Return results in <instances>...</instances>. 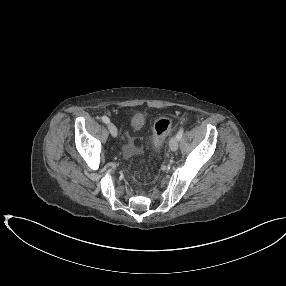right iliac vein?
Instances as JSON below:
<instances>
[{
  "instance_id": "63e3f726",
  "label": "right iliac vein",
  "mask_w": 286,
  "mask_h": 286,
  "mask_svg": "<svg viewBox=\"0 0 286 286\" xmlns=\"http://www.w3.org/2000/svg\"><path fill=\"white\" fill-rule=\"evenodd\" d=\"M108 129H109L110 134L113 137L117 136V128H116V126L113 123H108Z\"/></svg>"
}]
</instances>
